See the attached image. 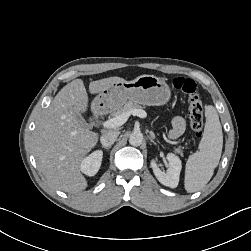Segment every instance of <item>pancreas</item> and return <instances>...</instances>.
Returning <instances> with one entry per match:
<instances>
[{
  "instance_id": "pancreas-1",
  "label": "pancreas",
  "mask_w": 251,
  "mask_h": 251,
  "mask_svg": "<svg viewBox=\"0 0 251 251\" xmlns=\"http://www.w3.org/2000/svg\"><path fill=\"white\" fill-rule=\"evenodd\" d=\"M134 109H142V107L129 101V102H126L122 107L115 109L112 112L111 116L116 117L118 115H121L123 113L129 112ZM174 152L179 154L180 156H183V151L181 148H175Z\"/></svg>"
}]
</instances>
